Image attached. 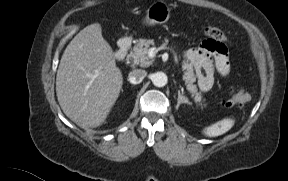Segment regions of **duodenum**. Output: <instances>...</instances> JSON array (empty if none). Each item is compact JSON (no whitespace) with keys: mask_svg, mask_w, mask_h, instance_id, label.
<instances>
[{"mask_svg":"<svg viewBox=\"0 0 288 181\" xmlns=\"http://www.w3.org/2000/svg\"><path fill=\"white\" fill-rule=\"evenodd\" d=\"M132 47V41L130 38H122L119 42V48L121 52L120 59L121 60H129L130 52Z\"/></svg>","mask_w":288,"mask_h":181,"instance_id":"1","label":"duodenum"}]
</instances>
